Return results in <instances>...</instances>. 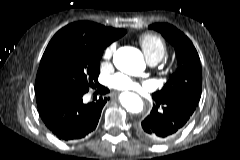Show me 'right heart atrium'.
<instances>
[{"label": "right heart atrium", "mask_w": 240, "mask_h": 160, "mask_svg": "<svg viewBox=\"0 0 240 160\" xmlns=\"http://www.w3.org/2000/svg\"><path fill=\"white\" fill-rule=\"evenodd\" d=\"M116 51V44L112 43L111 45H109L103 52V59L105 61H109L112 59L114 53Z\"/></svg>", "instance_id": "obj_1"}]
</instances>
